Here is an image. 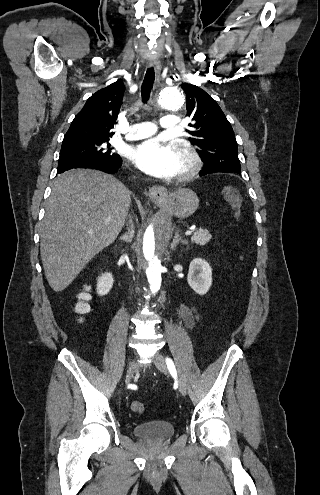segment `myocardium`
Wrapping results in <instances>:
<instances>
[{
    "label": "myocardium",
    "instance_id": "obj_1",
    "mask_svg": "<svg viewBox=\"0 0 320 495\" xmlns=\"http://www.w3.org/2000/svg\"><path fill=\"white\" fill-rule=\"evenodd\" d=\"M174 149L183 158L184 167L177 174V180L183 181L194 176L201 167V160L195 149L186 141H178L174 144Z\"/></svg>",
    "mask_w": 320,
    "mask_h": 495
}]
</instances>
